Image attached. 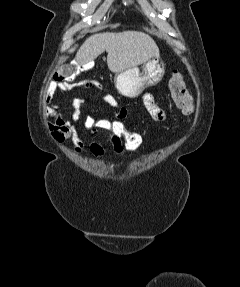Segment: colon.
Returning a JSON list of instances; mask_svg holds the SVG:
<instances>
[{
    "label": "colon",
    "mask_w": 240,
    "mask_h": 287,
    "mask_svg": "<svg viewBox=\"0 0 240 287\" xmlns=\"http://www.w3.org/2000/svg\"><path fill=\"white\" fill-rule=\"evenodd\" d=\"M54 80L65 89V92L73 89L95 87L94 81L81 80L72 82L63 73L56 74ZM168 88L176 107L185 115L192 114L193 101L186 88L183 75L180 72L175 71L172 74L168 82ZM83 103V98H75L72 102V118L77 124L81 122L86 130L103 133L114 141L121 142L126 154L136 155L141 151L144 143L141 133L132 131L124 120L118 118L83 117L81 112Z\"/></svg>",
    "instance_id": "5ec220e1"
}]
</instances>
